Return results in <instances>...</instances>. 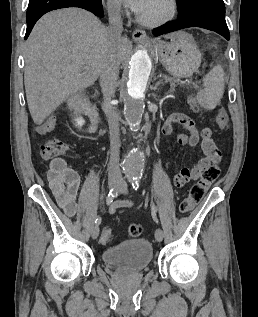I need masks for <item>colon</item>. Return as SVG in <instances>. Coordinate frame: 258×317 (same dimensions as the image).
I'll list each match as a JSON object with an SVG mask.
<instances>
[{"instance_id":"5ec220e1","label":"colon","mask_w":258,"mask_h":317,"mask_svg":"<svg viewBox=\"0 0 258 317\" xmlns=\"http://www.w3.org/2000/svg\"><path fill=\"white\" fill-rule=\"evenodd\" d=\"M191 107L194 112H199L200 108L195 101L191 100ZM216 123L221 130H227L229 128V117L225 110L219 109L216 113ZM67 145L59 139H48L44 141L38 148V156L42 160H49L63 155L67 151ZM220 174V168L217 164H211L207 166L201 178L195 183L187 197L180 204V211L182 213H188L192 211L195 206L203 199L205 193L211 186V184L218 178ZM142 233V227L139 224H132L129 227V234L133 237L139 236ZM114 242V232L111 228H104L100 235V243L103 245H110Z\"/></svg>"}]
</instances>
